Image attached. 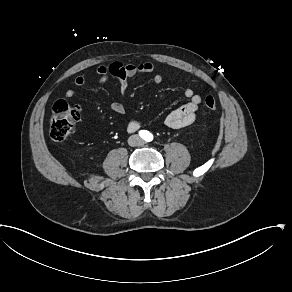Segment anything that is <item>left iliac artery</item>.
<instances>
[{"mask_svg": "<svg viewBox=\"0 0 292 292\" xmlns=\"http://www.w3.org/2000/svg\"><path fill=\"white\" fill-rule=\"evenodd\" d=\"M151 139H152V135L149 134V135H148V140H151Z\"/></svg>", "mask_w": 292, "mask_h": 292, "instance_id": "44dca946", "label": "left iliac artery"}]
</instances>
